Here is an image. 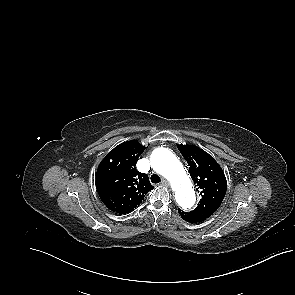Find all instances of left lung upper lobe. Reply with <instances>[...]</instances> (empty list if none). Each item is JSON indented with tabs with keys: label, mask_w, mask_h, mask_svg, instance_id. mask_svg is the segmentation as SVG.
<instances>
[{
	"label": "left lung upper lobe",
	"mask_w": 295,
	"mask_h": 295,
	"mask_svg": "<svg viewBox=\"0 0 295 295\" xmlns=\"http://www.w3.org/2000/svg\"><path fill=\"white\" fill-rule=\"evenodd\" d=\"M178 148L190 166L191 178L201 195L197 207L189 213L209 218L219 208L226 194L224 172L215 159L199 147L181 144Z\"/></svg>",
	"instance_id": "obj_1"
}]
</instances>
